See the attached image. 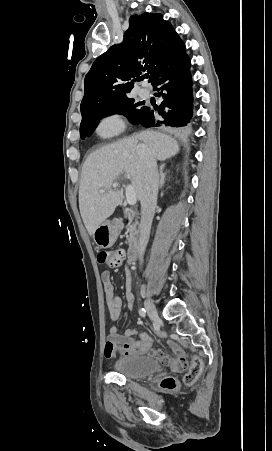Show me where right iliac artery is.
Segmentation results:
<instances>
[{
	"label": "right iliac artery",
	"mask_w": 272,
	"mask_h": 451,
	"mask_svg": "<svg viewBox=\"0 0 272 451\" xmlns=\"http://www.w3.org/2000/svg\"><path fill=\"white\" fill-rule=\"evenodd\" d=\"M139 314H140L141 317L145 318L146 317V310L144 308H141L139 310Z\"/></svg>",
	"instance_id": "82829eb1"
}]
</instances>
